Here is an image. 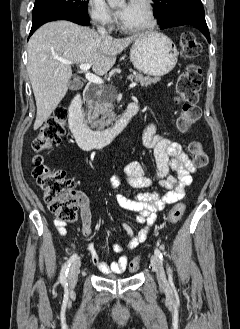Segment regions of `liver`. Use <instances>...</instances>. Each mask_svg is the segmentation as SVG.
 <instances>
[{
    "instance_id": "liver-1",
    "label": "liver",
    "mask_w": 240,
    "mask_h": 329,
    "mask_svg": "<svg viewBox=\"0 0 240 329\" xmlns=\"http://www.w3.org/2000/svg\"><path fill=\"white\" fill-rule=\"evenodd\" d=\"M137 37L113 39L68 21L51 22L40 27L28 42L27 72L36 100L34 130L45 122L66 95L72 69L60 61L88 63L98 75L115 64L116 55Z\"/></svg>"
}]
</instances>
